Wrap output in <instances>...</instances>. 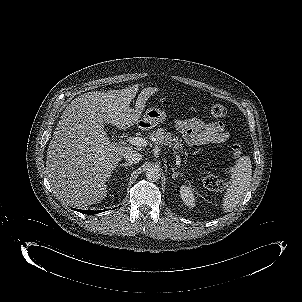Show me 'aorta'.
<instances>
[{
	"label": "aorta",
	"instance_id": "762f6f07",
	"mask_svg": "<svg viewBox=\"0 0 302 302\" xmlns=\"http://www.w3.org/2000/svg\"><path fill=\"white\" fill-rule=\"evenodd\" d=\"M161 177V171L156 166H150L146 170V178L150 181H157Z\"/></svg>",
	"mask_w": 302,
	"mask_h": 302
}]
</instances>
